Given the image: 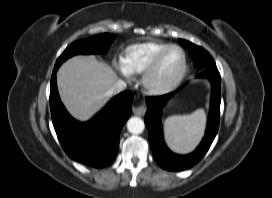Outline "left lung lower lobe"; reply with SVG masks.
<instances>
[{
  "label": "left lung lower lobe",
  "mask_w": 272,
  "mask_h": 198,
  "mask_svg": "<svg viewBox=\"0 0 272 198\" xmlns=\"http://www.w3.org/2000/svg\"><path fill=\"white\" fill-rule=\"evenodd\" d=\"M198 77L208 78L211 81V106L205 137L199 147L189 155L182 156L172 153L167 148L162 138L161 112L163 106L173 94L170 93L158 97H148L146 99L148 110L145 114L144 122L148 128L149 141L154 158L164 169L181 171L196 164L205 155L218 131L221 100L220 74L217 68H209L200 73Z\"/></svg>",
  "instance_id": "0a47b994"
}]
</instances>
